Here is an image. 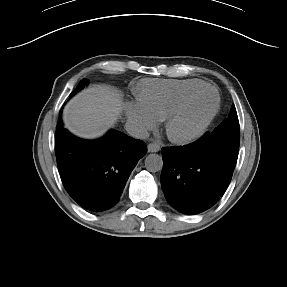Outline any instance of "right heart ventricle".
<instances>
[{"label": "right heart ventricle", "instance_id": "obj_1", "mask_svg": "<svg viewBox=\"0 0 287 287\" xmlns=\"http://www.w3.org/2000/svg\"><path fill=\"white\" fill-rule=\"evenodd\" d=\"M205 84L198 79H144L136 90L137 102L158 121H163L186 93Z\"/></svg>", "mask_w": 287, "mask_h": 287}]
</instances>
